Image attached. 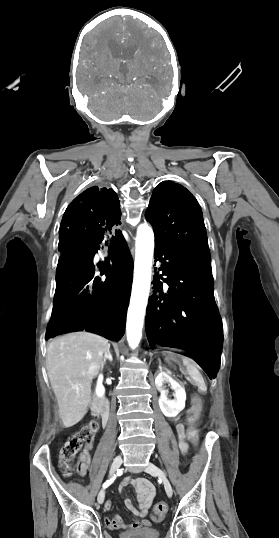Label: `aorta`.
<instances>
[{
  "mask_svg": "<svg viewBox=\"0 0 279 538\" xmlns=\"http://www.w3.org/2000/svg\"><path fill=\"white\" fill-rule=\"evenodd\" d=\"M135 252L134 279L126 322L127 341L132 349L138 346L142 337L151 284L154 233L147 224H141L137 228Z\"/></svg>",
  "mask_w": 279,
  "mask_h": 538,
  "instance_id": "762f6f07",
  "label": "aorta"
}]
</instances>
